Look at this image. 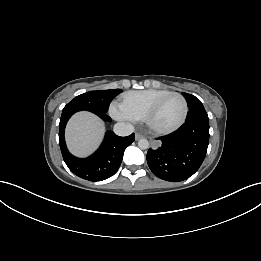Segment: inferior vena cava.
<instances>
[{
    "instance_id": "1",
    "label": "inferior vena cava",
    "mask_w": 261,
    "mask_h": 261,
    "mask_svg": "<svg viewBox=\"0 0 261 261\" xmlns=\"http://www.w3.org/2000/svg\"><path fill=\"white\" fill-rule=\"evenodd\" d=\"M118 136H128L134 132V126L129 123H116L113 128Z\"/></svg>"
}]
</instances>
